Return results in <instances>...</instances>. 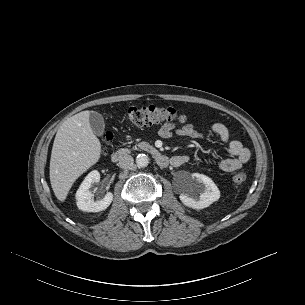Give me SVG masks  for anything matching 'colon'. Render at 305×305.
<instances>
[{
  "mask_svg": "<svg viewBox=\"0 0 305 305\" xmlns=\"http://www.w3.org/2000/svg\"><path fill=\"white\" fill-rule=\"evenodd\" d=\"M126 119L138 127H146L159 123H184L187 117L178 113L173 107H157L154 105L131 107L126 113ZM104 143L108 144L112 140L110 133H105ZM246 180L244 173H237L233 177L236 184H241Z\"/></svg>",
  "mask_w": 305,
  "mask_h": 305,
  "instance_id": "obj_1",
  "label": "colon"
}]
</instances>
